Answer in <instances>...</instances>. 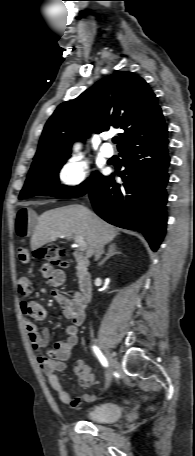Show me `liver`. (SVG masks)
Wrapping results in <instances>:
<instances>
[{"label":"liver","instance_id":"liver-1","mask_svg":"<svg viewBox=\"0 0 195 456\" xmlns=\"http://www.w3.org/2000/svg\"><path fill=\"white\" fill-rule=\"evenodd\" d=\"M76 235L86 241V257L90 258L96 252L99 240L103 244L110 243L118 231L82 205L64 206L46 211L38 217L31 237V249L36 250L58 238L69 241Z\"/></svg>","mask_w":195,"mask_h":456}]
</instances>
